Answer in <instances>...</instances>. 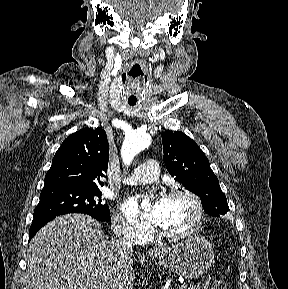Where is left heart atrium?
<instances>
[{"label":"left heart atrium","instance_id":"1","mask_svg":"<svg viewBox=\"0 0 288 289\" xmlns=\"http://www.w3.org/2000/svg\"><path fill=\"white\" fill-rule=\"evenodd\" d=\"M140 201L141 197H134L129 199L124 204L125 212L129 215L144 217L153 224H160L162 220L163 199L152 198V205L148 211L141 210Z\"/></svg>","mask_w":288,"mask_h":289}]
</instances>
